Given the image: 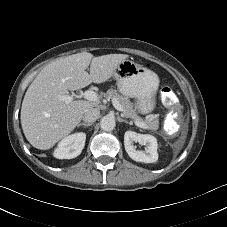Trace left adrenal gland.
Masks as SVG:
<instances>
[{
  "instance_id": "a2214340",
  "label": "left adrenal gland",
  "mask_w": 227,
  "mask_h": 227,
  "mask_svg": "<svg viewBox=\"0 0 227 227\" xmlns=\"http://www.w3.org/2000/svg\"><path fill=\"white\" fill-rule=\"evenodd\" d=\"M119 122H125V123H129L127 120H124V119H122L121 117H119Z\"/></svg>"
}]
</instances>
